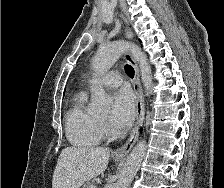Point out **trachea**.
<instances>
[{
  "instance_id": "obj_1",
  "label": "trachea",
  "mask_w": 224,
  "mask_h": 188,
  "mask_svg": "<svg viewBox=\"0 0 224 188\" xmlns=\"http://www.w3.org/2000/svg\"><path fill=\"white\" fill-rule=\"evenodd\" d=\"M125 70H126L128 76H129L130 78H133V77H134V69H133V67H132L131 65L126 64V65H125Z\"/></svg>"
}]
</instances>
